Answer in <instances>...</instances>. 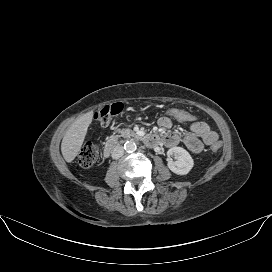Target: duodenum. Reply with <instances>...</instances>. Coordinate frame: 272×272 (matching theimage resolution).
<instances>
[{"label": "duodenum", "mask_w": 272, "mask_h": 272, "mask_svg": "<svg viewBox=\"0 0 272 272\" xmlns=\"http://www.w3.org/2000/svg\"><path fill=\"white\" fill-rule=\"evenodd\" d=\"M133 138H138L139 136L137 135H132ZM142 139L150 146H157L160 142V138L156 134H147L145 136H142ZM119 140L117 137H112L108 139L104 145L103 148V155L105 157H109L112 153V151L116 148L118 145Z\"/></svg>", "instance_id": "obj_1"}]
</instances>
